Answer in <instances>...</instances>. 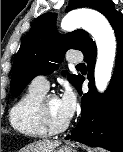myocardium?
I'll return each mask as SVG.
<instances>
[{"label":"myocardium","instance_id":"1","mask_svg":"<svg viewBox=\"0 0 123 152\" xmlns=\"http://www.w3.org/2000/svg\"><path fill=\"white\" fill-rule=\"evenodd\" d=\"M52 98H57L54 94L44 95L38 105V116L41 125L46 130L48 134H59L64 132L70 125L68 120L66 123L57 125L55 124L48 112V102Z\"/></svg>","mask_w":123,"mask_h":152}]
</instances>
